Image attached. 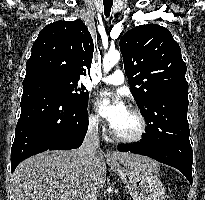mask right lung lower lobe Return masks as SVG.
I'll list each match as a JSON object with an SVG mask.
<instances>
[{
	"label": "right lung lower lobe",
	"instance_id": "right-lung-lower-lobe-1",
	"mask_svg": "<svg viewBox=\"0 0 205 200\" xmlns=\"http://www.w3.org/2000/svg\"><path fill=\"white\" fill-rule=\"evenodd\" d=\"M21 115L11 148V172L26 158L46 150L78 148L88 127L87 105L68 99L57 87L23 81Z\"/></svg>",
	"mask_w": 205,
	"mask_h": 200
}]
</instances>
